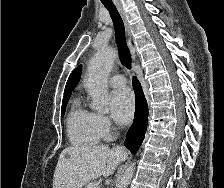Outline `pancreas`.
Here are the masks:
<instances>
[{
  "label": "pancreas",
  "mask_w": 224,
  "mask_h": 188,
  "mask_svg": "<svg viewBox=\"0 0 224 188\" xmlns=\"http://www.w3.org/2000/svg\"><path fill=\"white\" fill-rule=\"evenodd\" d=\"M92 185H95V183L94 182H90V183L86 184L84 188H90Z\"/></svg>",
  "instance_id": "cf45deb5"
}]
</instances>
